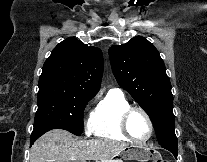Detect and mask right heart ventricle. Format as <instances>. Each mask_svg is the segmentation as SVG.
<instances>
[{
    "mask_svg": "<svg viewBox=\"0 0 207 162\" xmlns=\"http://www.w3.org/2000/svg\"><path fill=\"white\" fill-rule=\"evenodd\" d=\"M129 107L130 103L122 92L110 90L99 101L91 114V131L100 138L128 141L120 130V117Z\"/></svg>",
    "mask_w": 207,
    "mask_h": 162,
    "instance_id": "obj_1",
    "label": "right heart ventricle"
}]
</instances>
